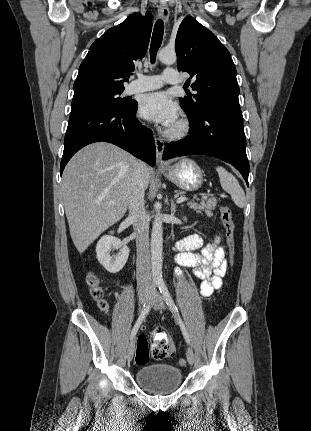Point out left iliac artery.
Returning a JSON list of instances; mask_svg holds the SVG:
<instances>
[{"label":"left iliac artery","mask_w":311,"mask_h":431,"mask_svg":"<svg viewBox=\"0 0 311 431\" xmlns=\"http://www.w3.org/2000/svg\"><path fill=\"white\" fill-rule=\"evenodd\" d=\"M158 287H159V290H160L161 294L163 295V298H164V300H165L166 304H167V305H168V307L170 308V310H171V312H172L173 316L175 317V320H176V321H177V323L179 324V326H180V328H181V331H182V333H183V336H184V338H185L186 342H187L188 344H190L189 334H188V332H187V329H186V327H185V325H184L183 321L181 320V318H180V316H179L177 306L175 305V303H174V301H173V299H172V297H171V295H170V293H169V291H168L167 286L165 285V283H164V282H160V283L158 284Z\"/></svg>","instance_id":"left-iliac-artery-1"}]
</instances>
